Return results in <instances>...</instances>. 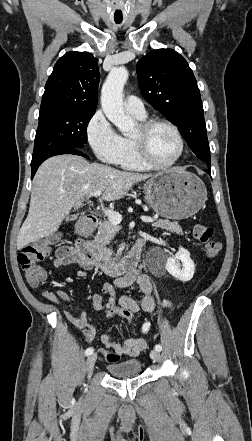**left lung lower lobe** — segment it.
<instances>
[{
    "mask_svg": "<svg viewBox=\"0 0 252 441\" xmlns=\"http://www.w3.org/2000/svg\"><path fill=\"white\" fill-rule=\"evenodd\" d=\"M205 171L211 176V166L210 165H206Z\"/></svg>",
    "mask_w": 252,
    "mask_h": 441,
    "instance_id": "obj_1",
    "label": "left lung lower lobe"
}]
</instances>
